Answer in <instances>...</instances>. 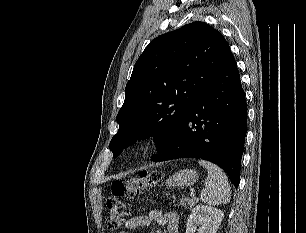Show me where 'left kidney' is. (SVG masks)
<instances>
[{
  "label": "left kidney",
  "mask_w": 306,
  "mask_h": 233,
  "mask_svg": "<svg viewBox=\"0 0 306 233\" xmlns=\"http://www.w3.org/2000/svg\"><path fill=\"white\" fill-rule=\"evenodd\" d=\"M223 217L222 210L199 204L187 220L186 233H216Z\"/></svg>",
  "instance_id": "obj_1"
}]
</instances>
